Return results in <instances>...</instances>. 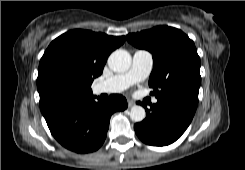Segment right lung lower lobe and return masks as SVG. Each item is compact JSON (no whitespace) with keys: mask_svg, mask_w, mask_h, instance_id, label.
Listing matches in <instances>:
<instances>
[{"mask_svg":"<svg viewBox=\"0 0 245 170\" xmlns=\"http://www.w3.org/2000/svg\"><path fill=\"white\" fill-rule=\"evenodd\" d=\"M127 108L121 95H111L103 100L94 96L73 102L51 118L47 125L54 138L65 148L88 153L97 150L105 141L111 115Z\"/></svg>","mask_w":245,"mask_h":170,"instance_id":"obj_1","label":"right lung lower lobe"}]
</instances>
